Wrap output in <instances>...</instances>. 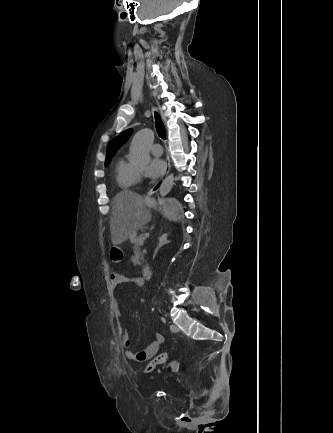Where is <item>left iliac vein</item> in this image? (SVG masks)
<instances>
[{"mask_svg":"<svg viewBox=\"0 0 333 433\" xmlns=\"http://www.w3.org/2000/svg\"><path fill=\"white\" fill-rule=\"evenodd\" d=\"M170 330L172 332H175V333L179 331L178 327L175 324H171L170 325Z\"/></svg>","mask_w":333,"mask_h":433,"instance_id":"left-iliac-vein-1","label":"left iliac vein"}]
</instances>
